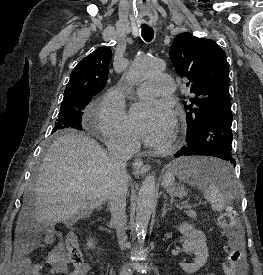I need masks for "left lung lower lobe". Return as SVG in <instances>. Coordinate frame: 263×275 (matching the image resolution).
<instances>
[{"mask_svg": "<svg viewBox=\"0 0 263 275\" xmlns=\"http://www.w3.org/2000/svg\"><path fill=\"white\" fill-rule=\"evenodd\" d=\"M232 112L222 109L208 117L196 131L187 132L186 144L174 154L175 158L190 155L214 156L229 161L235 166L232 157ZM231 165V166H232Z\"/></svg>", "mask_w": 263, "mask_h": 275, "instance_id": "1", "label": "left lung lower lobe"}]
</instances>
